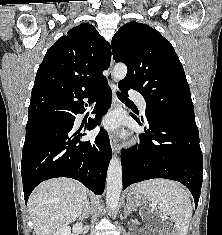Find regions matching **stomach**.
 <instances>
[{
    "mask_svg": "<svg viewBox=\"0 0 222 235\" xmlns=\"http://www.w3.org/2000/svg\"><path fill=\"white\" fill-rule=\"evenodd\" d=\"M147 201V197L138 192L136 187L132 188L127 194V202L131 207H137L144 204Z\"/></svg>",
    "mask_w": 222,
    "mask_h": 235,
    "instance_id": "0dacf381",
    "label": "stomach"
}]
</instances>
